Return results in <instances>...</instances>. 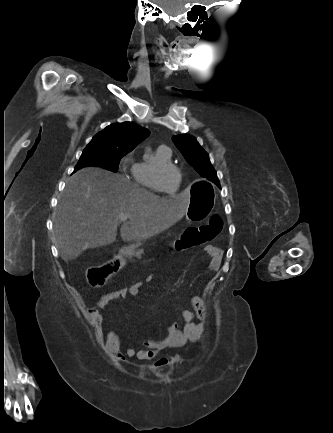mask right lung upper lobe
I'll list each match as a JSON object with an SVG mask.
<instances>
[{
    "instance_id": "1",
    "label": "right lung upper lobe",
    "mask_w": 333,
    "mask_h": 433,
    "mask_svg": "<svg viewBox=\"0 0 333 433\" xmlns=\"http://www.w3.org/2000/svg\"><path fill=\"white\" fill-rule=\"evenodd\" d=\"M149 134L148 129L133 122L114 123L95 135L88 146L114 148L129 153Z\"/></svg>"
}]
</instances>
